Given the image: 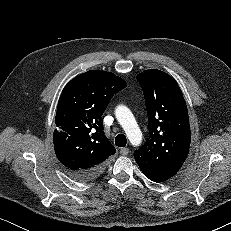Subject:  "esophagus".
<instances>
[{
	"label": "esophagus",
	"mask_w": 231,
	"mask_h": 231,
	"mask_svg": "<svg viewBox=\"0 0 231 231\" xmlns=\"http://www.w3.org/2000/svg\"><path fill=\"white\" fill-rule=\"evenodd\" d=\"M129 153V149L128 148H121L120 149V154L123 155V156H126L128 155Z\"/></svg>",
	"instance_id": "1"
}]
</instances>
